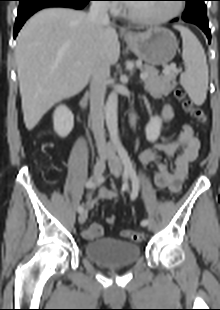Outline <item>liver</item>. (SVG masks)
I'll list each match as a JSON object with an SVG mask.
<instances>
[{
  "label": "liver",
  "mask_w": 220,
  "mask_h": 310,
  "mask_svg": "<svg viewBox=\"0 0 220 310\" xmlns=\"http://www.w3.org/2000/svg\"><path fill=\"white\" fill-rule=\"evenodd\" d=\"M119 55L114 27L97 28L85 12L50 8L31 17L15 49L26 128L32 130L53 105L82 91L100 62L113 65Z\"/></svg>",
  "instance_id": "6515ba94"
}]
</instances>
